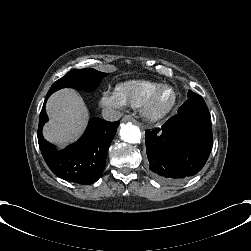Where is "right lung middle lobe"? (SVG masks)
Returning <instances> with one entry per match:
<instances>
[{
  "label": "right lung middle lobe",
  "instance_id": "obj_1",
  "mask_svg": "<svg viewBox=\"0 0 251 251\" xmlns=\"http://www.w3.org/2000/svg\"><path fill=\"white\" fill-rule=\"evenodd\" d=\"M107 75L109 74L92 68L71 70L61 79L53 83L46 98L62 88H76L85 91H93L100 83V80Z\"/></svg>",
  "mask_w": 251,
  "mask_h": 251
}]
</instances>
